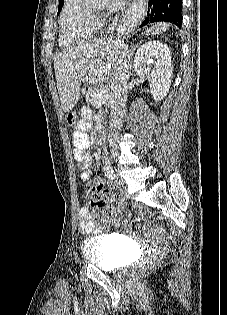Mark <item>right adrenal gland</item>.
Here are the masks:
<instances>
[{"label":"right adrenal gland","mask_w":227,"mask_h":315,"mask_svg":"<svg viewBox=\"0 0 227 315\" xmlns=\"http://www.w3.org/2000/svg\"><path fill=\"white\" fill-rule=\"evenodd\" d=\"M139 47L138 44H135L133 46H131V50L128 51V56L131 59V57L133 56L134 51Z\"/></svg>","instance_id":"1"}]
</instances>
